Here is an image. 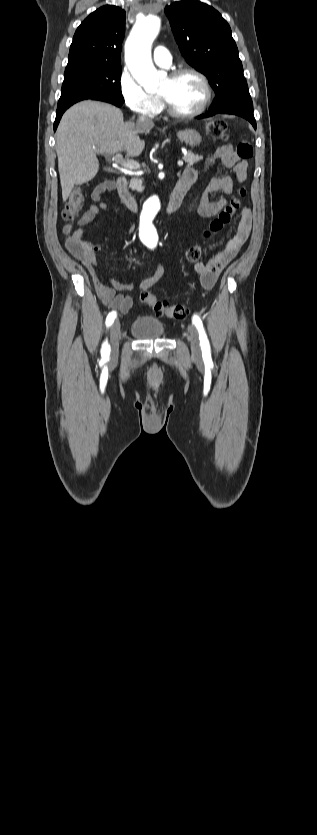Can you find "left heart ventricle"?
Wrapping results in <instances>:
<instances>
[{
    "instance_id": "b2bd125f",
    "label": "left heart ventricle",
    "mask_w": 317,
    "mask_h": 835,
    "mask_svg": "<svg viewBox=\"0 0 317 835\" xmlns=\"http://www.w3.org/2000/svg\"><path fill=\"white\" fill-rule=\"evenodd\" d=\"M159 94L164 95L176 110L187 113L199 106L204 90L196 76L186 74L176 79L167 77Z\"/></svg>"
}]
</instances>
